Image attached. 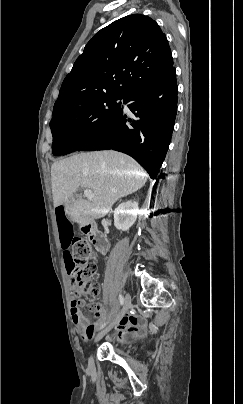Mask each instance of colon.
Returning a JSON list of instances; mask_svg holds the SVG:
<instances>
[{
    "mask_svg": "<svg viewBox=\"0 0 243 404\" xmlns=\"http://www.w3.org/2000/svg\"><path fill=\"white\" fill-rule=\"evenodd\" d=\"M97 256L94 254L90 242L86 239H76L73 242L72 263L74 281L78 285L75 297L82 294L96 296L98 286L92 282L97 272Z\"/></svg>",
    "mask_w": 243,
    "mask_h": 404,
    "instance_id": "1",
    "label": "colon"
}]
</instances>
